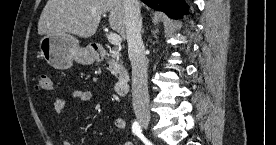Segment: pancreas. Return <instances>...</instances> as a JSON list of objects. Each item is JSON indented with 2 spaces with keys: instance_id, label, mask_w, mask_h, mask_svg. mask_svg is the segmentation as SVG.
Instances as JSON below:
<instances>
[{
  "instance_id": "obj_1",
  "label": "pancreas",
  "mask_w": 276,
  "mask_h": 145,
  "mask_svg": "<svg viewBox=\"0 0 276 145\" xmlns=\"http://www.w3.org/2000/svg\"><path fill=\"white\" fill-rule=\"evenodd\" d=\"M111 59L108 61L109 70L113 75H116L119 72L120 64L119 60L121 57V54L117 51L110 50Z\"/></svg>"
}]
</instances>
